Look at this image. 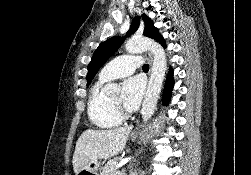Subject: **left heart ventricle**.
I'll list each match as a JSON object with an SVG mask.
<instances>
[{"label": "left heart ventricle", "instance_id": "b2bd125f", "mask_svg": "<svg viewBox=\"0 0 251 175\" xmlns=\"http://www.w3.org/2000/svg\"><path fill=\"white\" fill-rule=\"evenodd\" d=\"M119 101H120V95H116L114 96L111 100L110 103L114 106L117 107L119 105Z\"/></svg>", "mask_w": 251, "mask_h": 175}]
</instances>
